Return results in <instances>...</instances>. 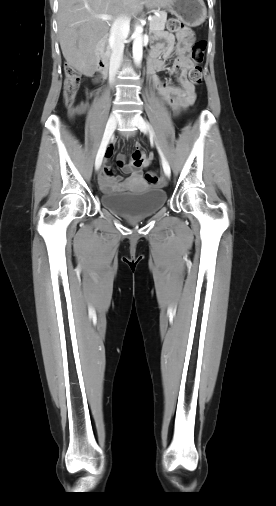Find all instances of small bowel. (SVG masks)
<instances>
[{"label":"small bowel","instance_id":"1","mask_svg":"<svg viewBox=\"0 0 276 506\" xmlns=\"http://www.w3.org/2000/svg\"><path fill=\"white\" fill-rule=\"evenodd\" d=\"M192 38L193 33L188 28L177 34V43H175L172 35L163 34L161 35V41L151 48L149 54L148 76L150 83L157 88L160 99L169 103L175 113H180L184 108L195 101L194 86L186 77L187 70L191 66V61L187 54ZM173 55H175L176 59L173 66L170 68V73L177 75L178 86L163 81L156 76L157 71H162L166 68L164 59H169ZM94 81L98 83L99 78L95 76ZM87 107V103L82 102L78 107V111L83 112ZM135 148L136 152L133 154L129 163H126L123 154L117 157L118 167L128 175L126 180H122L120 176L116 175L111 166L105 165L102 168L99 177V186L102 190L125 189L141 180L142 170L149 167L153 160V156L140 151V145L138 143H135ZM112 154L113 148L110 146L106 150V157L110 158Z\"/></svg>","mask_w":276,"mask_h":506}]
</instances>
